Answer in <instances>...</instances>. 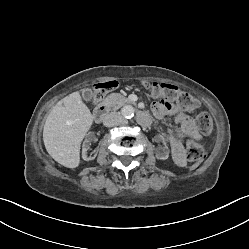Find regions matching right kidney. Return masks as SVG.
Instances as JSON below:
<instances>
[{"mask_svg": "<svg viewBox=\"0 0 249 249\" xmlns=\"http://www.w3.org/2000/svg\"><path fill=\"white\" fill-rule=\"evenodd\" d=\"M97 132L96 131H91L89 134H88V137L85 141L82 142V158L86 161H89V160H93L95 159L96 155L94 156H89L88 155V152H92L94 150V145L93 143L97 141Z\"/></svg>", "mask_w": 249, "mask_h": 249, "instance_id": "obj_1", "label": "right kidney"}]
</instances>
